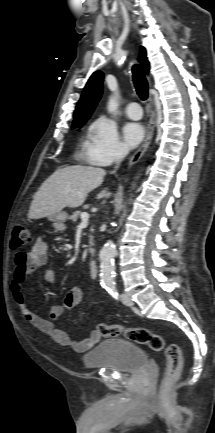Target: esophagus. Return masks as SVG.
<instances>
[{
	"mask_svg": "<svg viewBox=\"0 0 215 433\" xmlns=\"http://www.w3.org/2000/svg\"><path fill=\"white\" fill-rule=\"evenodd\" d=\"M149 104L151 107V116H150V120H149V124H148V128H147L146 137H145L141 147L130 158L129 166L136 164L141 159V157L143 156V154L145 153V151L149 147V145L152 141L153 135H154L155 123H156V110H155V106H154L153 95L151 93L149 95Z\"/></svg>",
	"mask_w": 215,
	"mask_h": 433,
	"instance_id": "1",
	"label": "esophagus"
}]
</instances>
